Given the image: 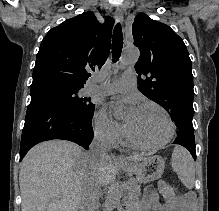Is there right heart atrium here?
<instances>
[{
	"label": "right heart atrium",
	"mask_w": 219,
	"mask_h": 211,
	"mask_svg": "<svg viewBox=\"0 0 219 211\" xmlns=\"http://www.w3.org/2000/svg\"><path fill=\"white\" fill-rule=\"evenodd\" d=\"M93 125L97 138L102 142L111 146L121 142L123 137L122 127L109 119L102 110L94 114Z\"/></svg>",
	"instance_id": "1"
}]
</instances>
